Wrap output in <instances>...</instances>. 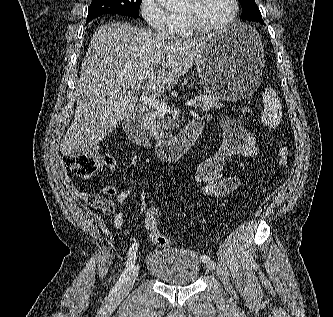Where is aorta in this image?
Instances as JSON below:
<instances>
[{
  "instance_id": "obj_1",
  "label": "aorta",
  "mask_w": 333,
  "mask_h": 317,
  "mask_svg": "<svg viewBox=\"0 0 333 317\" xmlns=\"http://www.w3.org/2000/svg\"><path fill=\"white\" fill-rule=\"evenodd\" d=\"M183 0H157V2L166 9H174L178 7Z\"/></svg>"
}]
</instances>
